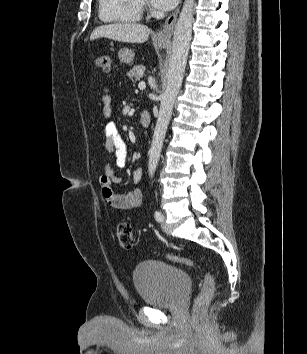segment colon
Returning <instances> with one entry per match:
<instances>
[{"label": "colon", "mask_w": 307, "mask_h": 354, "mask_svg": "<svg viewBox=\"0 0 307 354\" xmlns=\"http://www.w3.org/2000/svg\"><path fill=\"white\" fill-rule=\"evenodd\" d=\"M97 66L104 72H108L111 67V56L108 54L100 55L97 58ZM117 239L119 245L124 249H132L134 245L133 233L131 226L126 222H121L117 226ZM167 258L170 261L192 267L199 268V266L194 263L192 260L178 256V255H167ZM215 291V283L211 274L205 270L202 271V284L199 294L195 300L194 304V316L195 319L199 318L201 311L205 308V306L211 300Z\"/></svg>", "instance_id": "obj_1"}]
</instances>
